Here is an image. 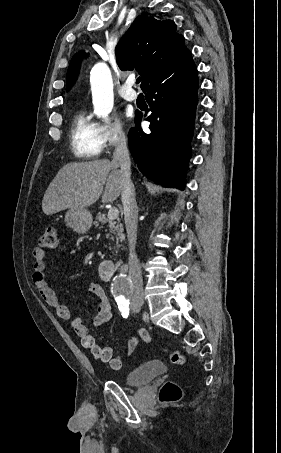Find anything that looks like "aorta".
<instances>
[{"label": "aorta", "instance_id": "1", "mask_svg": "<svg viewBox=\"0 0 281 453\" xmlns=\"http://www.w3.org/2000/svg\"><path fill=\"white\" fill-rule=\"evenodd\" d=\"M90 83L94 112L98 118L107 120L113 109L114 94L113 81L109 67L105 63H97L90 72ZM131 282L124 276L115 278L112 289L118 294V301H124V294L128 293Z\"/></svg>", "mask_w": 281, "mask_h": 453}]
</instances>
